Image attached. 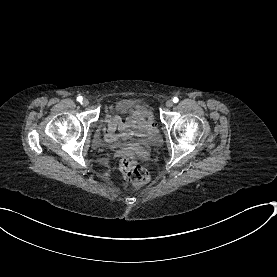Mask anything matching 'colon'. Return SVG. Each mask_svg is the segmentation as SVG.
Instances as JSON below:
<instances>
[{
    "label": "colon",
    "mask_w": 277,
    "mask_h": 277,
    "mask_svg": "<svg viewBox=\"0 0 277 277\" xmlns=\"http://www.w3.org/2000/svg\"><path fill=\"white\" fill-rule=\"evenodd\" d=\"M121 175L129 186L143 185L145 188H152L156 184V177L137 165L133 160L122 161Z\"/></svg>",
    "instance_id": "1"
}]
</instances>
